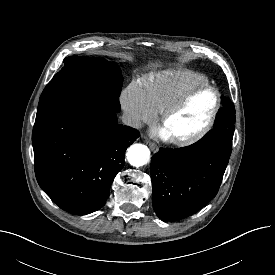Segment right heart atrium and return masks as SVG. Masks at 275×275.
<instances>
[{
  "instance_id": "1",
  "label": "right heart atrium",
  "mask_w": 275,
  "mask_h": 275,
  "mask_svg": "<svg viewBox=\"0 0 275 275\" xmlns=\"http://www.w3.org/2000/svg\"><path fill=\"white\" fill-rule=\"evenodd\" d=\"M121 104L132 126H139L144 122H150L155 112L150 107L145 92L136 83L129 84L121 94Z\"/></svg>"
}]
</instances>
